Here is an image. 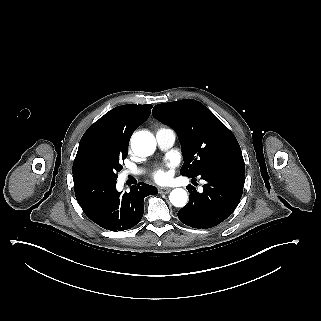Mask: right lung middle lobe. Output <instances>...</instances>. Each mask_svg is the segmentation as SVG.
<instances>
[{
	"mask_svg": "<svg viewBox=\"0 0 321 321\" xmlns=\"http://www.w3.org/2000/svg\"><path fill=\"white\" fill-rule=\"evenodd\" d=\"M128 143L111 141L103 130L85 132L73 163V175L90 174L117 179L127 157Z\"/></svg>",
	"mask_w": 321,
	"mask_h": 321,
	"instance_id": "1",
	"label": "right lung middle lobe"
}]
</instances>
